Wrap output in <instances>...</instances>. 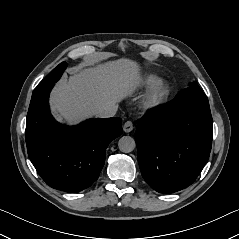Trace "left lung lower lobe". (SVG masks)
Here are the masks:
<instances>
[{"label": "left lung lower lobe", "mask_w": 239, "mask_h": 239, "mask_svg": "<svg viewBox=\"0 0 239 239\" xmlns=\"http://www.w3.org/2000/svg\"><path fill=\"white\" fill-rule=\"evenodd\" d=\"M212 135L207 97L187 95L150 110L135 132L145 182L165 194L191 185L209 158Z\"/></svg>", "instance_id": "obj_1"}]
</instances>
